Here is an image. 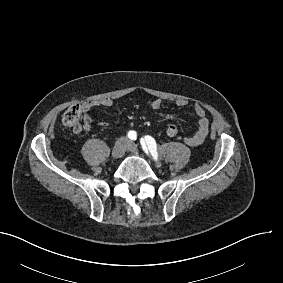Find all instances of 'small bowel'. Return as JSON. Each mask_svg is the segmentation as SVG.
I'll list each match as a JSON object with an SVG mask.
<instances>
[{
  "label": "small bowel",
  "instance_id": "1",
  "mask_svg": "<svg viewBox=\"0 0 283 283\" xmlns=\"http://www.w3.org/2000/svg\"><path fill=\"white\" fill-rule=\"evenodd\" d=\"M148 106L152 110H159L162 107V101L160 99H153L147 102ZM178 106H185L186 101H178ZM113 101L110 98H103L100 100H89L81 104V109L85 113V121L83 129L89 132L92 128L91 123L102 124L106 122L109 115L104 110H96V108H111ZM194 111L197 117V130L194 134L184 138V143L189 147H197L201 145L209 133L210 121L206 116L205 108L196 103L194 105Z\"/></svg>",
  "mask_w": 283,
  "mask_h": 283
}]
</instances>
